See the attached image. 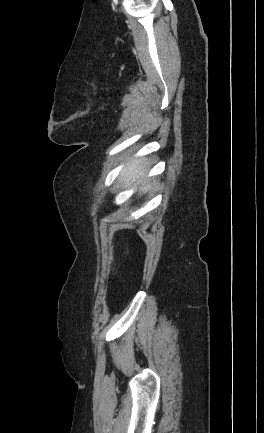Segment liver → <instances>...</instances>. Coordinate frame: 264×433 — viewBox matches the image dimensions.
I'll list each match as a JSON object with an SVG mask.
<instances>
[{"instance_id":"liver-1","label":"liver","mask_w":264,"mask_h":433,"mask_svg":"<svg viewBox=\"0 0 264 433\" xmlns=\"http://www.w3.org/2000/svg\"><path fill=\"white\" fill-rule=\"evenodd\" d=\"M146 171L147 169L144 161L138 159L132 161L126 168L122 170L119 175V180L123 183L124 187H127L140 180ZM149 189H151V184H142L139 189V193H146Z\"/></svg>"}]
</instances>
